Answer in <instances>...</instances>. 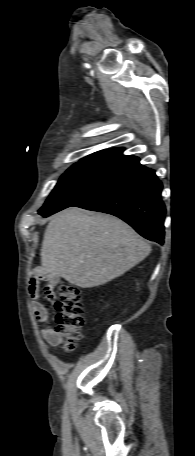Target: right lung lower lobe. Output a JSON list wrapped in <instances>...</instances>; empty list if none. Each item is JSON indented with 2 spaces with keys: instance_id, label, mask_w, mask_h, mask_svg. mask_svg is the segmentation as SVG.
Returning <instances> with one entry per match:
<instances>
[{
  "instance_id": "right-lung-lower-lobe-1",
  "label": "right lung lower lobe",
  "mask_w": 195,
  "mask_h": 456,
  "mask_svg": "<svg viewBox=\"0 0 195 456\" xmlns=\"http://www.w3.org/2000/svg\"><path fill=\"white\" fill-rule=\"evenodd\" d=\"M161 191L155 172L137 163L74 206L117 216L143 237L163 244L166 209ZM39 213L49 216L42 210Z\"/></svg>"
}]
</instances>
